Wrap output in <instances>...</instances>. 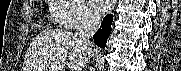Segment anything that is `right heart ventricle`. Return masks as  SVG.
Returning a JSON list of instances; mask_svg holds the SVG:
<instances>
[{
    "label": "right heart ventricle",
    "mask_w": 181,
    "mask_h": 71,
    "mask_svg": "<svg viewBox=\"0 0 181 71\" xmlns=\"http://www.w3.org/2000/svg\"><path fill=\"white\" fill-rule=\"evenodd\" d=\"M61 10H62V7H59V6H54L52 8V13H53L56 20H58L59 13L61 12Z\"/></svg>",
    "instance_id": "1"
}]
</instances>
